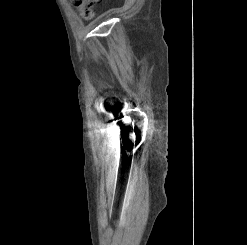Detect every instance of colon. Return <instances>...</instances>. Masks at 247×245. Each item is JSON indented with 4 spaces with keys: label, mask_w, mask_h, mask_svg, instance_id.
I'll return each instance as SVG.
<instances>
[{
    "label": "colon",
    "mask_w": 247,
    "mask_h": 245,
    "mask_svg": "<svg viewBox=\"0 0 247 245\" xmlns=\"http://www.w3.org/2000/svg\"><path fill=\"white\" fill-rule=\"evenodd\" d=\"M71 1L84 18L90 19L94 14V5L99 0H71Z\"/></svg>",
    "instance_id": "obj_1"
}]
</instances>
